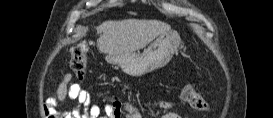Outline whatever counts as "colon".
Segmentation results:
<instances>
[{
	"label": "colon",
	"instance_id": "5ec220e1",
	"mask_svg": "<svg viewBox=\"0 0 273 118\" xmlns=\"http://www.w3.org/2000/svg\"><path fill=\"white\" fill-rule=\"evenodd\" d=\"M89 47V42L86 40H83L76 45H74L71 49V57H70V65L72 70L75 72V74L83 79L86 76L87 73V63H86V56L87 51ZM182 93H186L191 104L193 105V108L200 110V111H206L208 109V105L206 101L202 99V97L197 94L191 87H185L182 91ZM116 105L121 109V103L117 100L115 101ZM46 116L47 118H57L58 114L56 113H49L46 109Z\"/></svg>",
	"mask_w": 273,
	"mask_h": 118
}]
</instances>
